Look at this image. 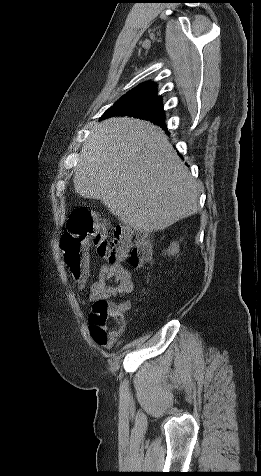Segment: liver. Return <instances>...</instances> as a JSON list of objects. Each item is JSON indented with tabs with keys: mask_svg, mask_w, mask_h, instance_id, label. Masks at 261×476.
Listing matches in <instances>:
<instances>
[{
	"mask_svg": "<svg viewBox=\"0 0 261 476\" xmlns=\"http://www.w3.org/2000/svg\"><path fill=\"white\" fill-rule=\"evenodd\" d=\"M73 182L80 196L101 200L138 231L164 230L199 209L196 180L163 131L140 119L112 117L95 124Z\"/></svg>",
	"mask_w": 261,
	"mask_h": 476,
	"instance_id": "liver-1",
	"label": "liver"
}]
</instances>
